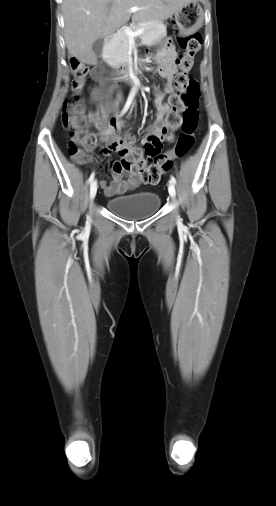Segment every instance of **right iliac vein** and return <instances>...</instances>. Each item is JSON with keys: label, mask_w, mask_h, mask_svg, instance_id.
Here are the masks:
<instances>
[{"label": "right iliac vein", "mask_w": 276, "mask_h": 506, "mask_svg": "<svg viewBox=\"0 0 276 506\" xmlns=\"http://www.w3.org/2000/svg\"><path fill=\"white\" fill-rule=\"evenodd\" d=\"M97 192V182L93 181L90 185V200L93 202Z\"/></svg>", "instance_id": "1"}]
</instances>
